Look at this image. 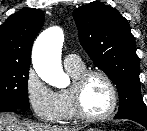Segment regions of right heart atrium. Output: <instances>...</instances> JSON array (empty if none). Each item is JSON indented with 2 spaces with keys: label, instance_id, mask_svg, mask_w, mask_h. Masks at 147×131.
<instances>
[{
  "label": "right heart atrium",
  "instance_id": "right-heart-atrium-1",
  "mask_svg": "<svg viewBox=\"0 0 147 131\" xmlns=\"http://www.w3.org/2000/svg\"><path fill=\"white\" fill-rule=\"evenodd\" d=\"M25 93L35 116L45 122H56L62 116V103L56 91L48 87L34 69L25 78Z\"/></svg>",
  "mask_w": 147,
  "mask_h": 131
}]
</instances>
